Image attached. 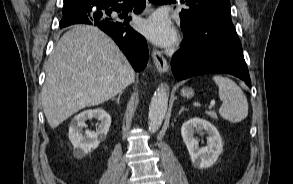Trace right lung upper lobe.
<instances>
[{
  "instance_id": "right-lung-upper-lobe-1",
  "label": "right lung upper lobe",
  "mask_w": 293,
  "mask_h": 184,
  "mask_svg": "<svg viewBox=\"0 0 293 184\" xmlns=\"http://www.w3.org/2000/svg\"><path fill=\"white\" fill-rule=\"evenodd\" d=\"M102 0H64L63 16L73 14L82 8L97 5Z\"/></svg>"
}]
</instances>
